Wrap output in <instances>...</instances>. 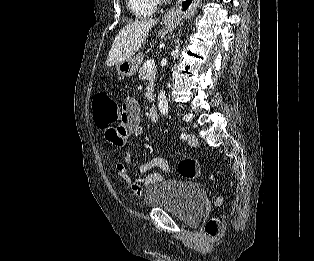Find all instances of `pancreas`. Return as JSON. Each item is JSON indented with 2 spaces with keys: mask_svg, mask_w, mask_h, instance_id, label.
<instances>
[{
  "mask_svg": "<svg viewBox=\"0 0 314 261\" xmlns=\"http://www.w3.org/2000/svg\"><path fill=\"white\" fill-rule=\"evenodd\" d=\"M138 74H139L140 79L146 80L148 83L145 97L148 99L149 102H153L154 101V80H155L156 70L153 69L151 71H148L145 69L144 64H143Z\"/></svg>",
  "mask_w": 314,
  "mask_h": 261,
  "instance_id": "1",
  "label": "pancreas"
}]
</instances>
